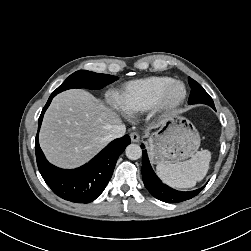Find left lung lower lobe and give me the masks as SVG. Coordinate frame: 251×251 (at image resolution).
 Listing matches in <instances>:
<instances>
[{
  "mask_svg": "<svg viewBox=\"0 0 251 251\" xmlns=\"http://www.w3.org/2000/svg\"><path fill=\"white\" fill-rule=\"evenodd\" d=\"M215 109V108H213ZM142 154V178L147 190L157 199L167 203H179L195 197L204 187L194 191H177L162 183L151 168L147 151L144 144H141Z\"/></svg>",
  "mask_w": 251,
  "mask_h": 251,
  "instance_id": "left-lung-lower-lobe-1",
  "label": "left lung lower lobe"
}]
</instances>
